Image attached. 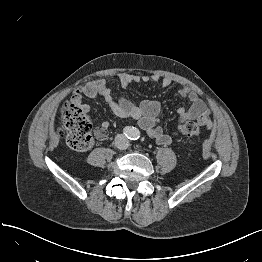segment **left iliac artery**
I'll list each match as a JSON object with an SVG mask.
<instances>
[{"label": "left iliac artery", "mask_w": 262, "mask_h": 262, "mask_svg": "<svg viewBox=\"0 0 262 262\" xmlns=\"http://www.w3.org/2000/svg\"><path fill=\"white\" fill-rule=\"evenodd\" d=\"M139 137H140V132H139L138 129L135 128V129L133 130L132 139H133V140H137V139H139Z\"/></svg>", "instance_id": "obj_1"}]
</instances>
